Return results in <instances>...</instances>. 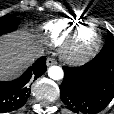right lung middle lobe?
I'll return each mask as SVG.
<instances>
[{"label":"right lung middle lobe","mask_w":114,"mask_h":114,"mask_svg":"<svg viewBox=\"0 0 114 114\" xmlns=\"http://www.w3.org/2000/svg\"><path fill=\"white\" fill-rule=\"evenodd\" d=\"M18 24L19 22L15 15H5L0 17V35L16 30Z\"/></svg>","instance_id":"1"}]
</instances>
